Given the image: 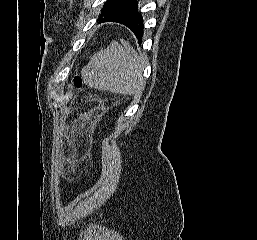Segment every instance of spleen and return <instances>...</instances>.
Listing matches in <instances>:
<instances>
[{
  "instance_id": "obj_1",
  "label": "spleen",
  "mask_w": 257,
  "mask_h": 240,
  "mask_svg": "<svg viewBox=\"0 0 257 240\" xmlns=\"http://www.w3.org/2000/svg\"><path fill=\"white\" fill-rule=\"evenodd\" d=\"M97 53L83 70L88 86L115 94H136L145 87L141 57L124 39Z\"/></svg>"
}]
</instances>
